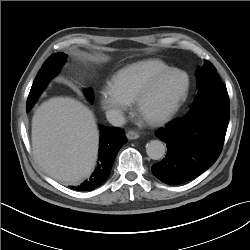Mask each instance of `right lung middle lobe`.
I'll return each instance as SVG.
<instances>
[{
  "label": "right lung middle lobe",
  "instance_id": "obj_1",
  "mask_svg": "<svg viewBox=\"0 0 250 250\" xmlns=\"http://www.w3.org/2000/svg\"><path fill=\"white\" fill-rule=\"evenodd\" d=\"M66 58L67 56L63 52H59L57 54L52 55L43 64L31 87L26 104L27 111L30 110L31 107L34 105V103L36 102V100L38 99L50 79L53 78L60 71L64 63L67 61ZM86 93L87 97L92 102L94 99L93 92L89 90Z\"/></svg>",
  "mask_w": 250,
  "mask_h": 250
}]
</instances>
